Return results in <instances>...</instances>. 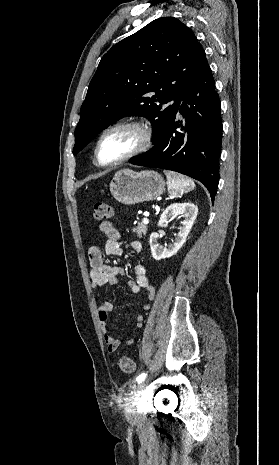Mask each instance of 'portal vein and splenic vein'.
I'll return each instance as SVG.
<instances>
[{
    "label": "portal vein and splenic vein",
    "mask_w": 279,
    "mask_h": 465,
    "mask_svg": "<svg viewBox=\"0 0 279 465\" xmlns=\"http://www.w3.org/2000/svg\"><path fill=\"white\" fill-rule=\"evenodd\" d=\"M142 222H143L144 224H148V223H149V219H148V218H144V219L142 220Z\"/></svg>",
    "instance_id": "18ae733b"
}]
</instances>
